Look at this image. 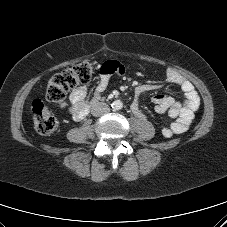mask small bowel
I'll return each instance as SVG.
<instances>
[{
    "instance_id": "c3829d8e",
    "label": "small bowel",
    "mask_w": 227,
    "mask_h": 227,
    "mask_svg": "<svg viewBox=\"0 0 227 227\" xmlns=\"http://www.w3.org/2000/svg\"><path fill=\"white\" fill-rule=\"evenodd\" d=\"M101 75L95 90V99H98L108 87L110 78L114 74H123L124 68L116 61L105 62L101 69ZM166 78L169 83L178 85L185 95V100L180 102L173 97L163 94H156L153 97L155 110L158 113H167L172 123L162 130L166 138L186 132L194 118V113L200 106V97L193 84L172 68L166 71ZM158 85H140L135 89V98L131 109L135 115L145 118L140 108V98L147 92L158 89ZM88 90L85 86L75 88L70 94L71 106L69 112L76 121L82 120L89 111L90 102L86 100Z\"/></svg>"
}]
</instances>
